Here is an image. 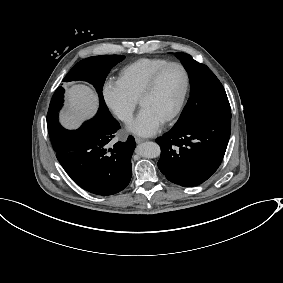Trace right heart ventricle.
<instances>
[{
    "label": "right heart ventricle",
    "mask_w": 283,
    "mask_h": 283,
    "mask_svg": "<svg viewBox=\"0 0 283 283\" xmlns=\"http://www.w3.org/2000/svg\"><path fill=\"white\" fill-rule=\"evenodd\" d=\"M169 62L170 60L164 57L139 58L120 69L118 80L130 97L134 100H138L149 76L158 68Z\"/></svg>",
    "instance_id": "1"
}]
</instances>
